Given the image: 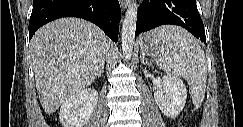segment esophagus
I'll list each match as a JSON object with an SVG mask.
<instances>
[{"label":"esophagus","instance_id":"esophagus-1","mask_svg":"<svg viewBox=\"0 0 243 127\" xmlns=\"http://www.w3.org/2000/svg\"><path fill=\"white\" fill-rule=\"evenodd\" d=\"M130 3V0H120V4L122 6V8H126Z\"/></svg>","mask_w":243,"mask_h":127}]
</instances>
